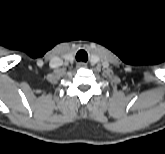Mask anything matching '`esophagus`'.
<instances>
[{
	"mask_svg": "<svg viewBox=\"0 0 165 154\" xmlns=\"http://www.w3.org/2000/svg\"><path fill=\"white\" fill-rule=\"evenodd\" d=\"M78 66H79V67H80V66L85 67V66H86V64H85V63H83V62H80V63H78Z\"/></svg>",
	"mask_w": 165,
	"mask_h": 154,
	"instance_id": "34e87169",
	"label": "esophagus"
}]
</instances>
